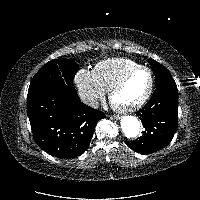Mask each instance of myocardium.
<instances>
[{
	"label": "myocardium",
	"mask_w": 200,
	"mask_h": 200,
	"mask_svg": "<svg viewBox=\"0 0 200 200\" xmlns=\"http://www.w3.org/2000/svg\"><path fill=\"white\" fill-rule=\"evenodd\" d=\"M139 71H147L150 75V84L148 87L147 92L145 95L136 103L120 106L114 103V97L116 93L127 83V81L137 72ZM154 84H155V77L153 71L146 66H138L133 69H131L129 72H127L123 77H121L111 88L109 92V99L112 104V106L119 112L122 113H130L134 112L140 108H142L150 99L152 96L153 90H154Z\"/></svg>",
	"instance_id": "myocardium-1"
}]
</instances>
